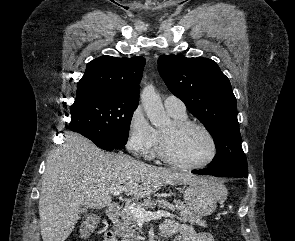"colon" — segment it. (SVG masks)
Instances as JSON below:
<instances>
[{
	"mask_svg": "<svg viewBox=\"0 0 295 241\" xmlns=\"http://www.w3.org/2000/svg\"><path fill=\"white\" fill-rule=\"evenodd\" d=\"M98 224V219L96 217L86 218L81 226L82 237L88 238L92 235Z\"/></svg>",
	"mask_w": 295,
	"mask_h": 241,
	"instance_id": "5ec220e1",
	"label": "colon"
}]
</instances>
